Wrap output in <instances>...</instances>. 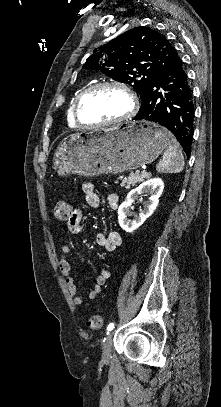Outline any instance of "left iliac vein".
<instances>
[{"mask_svg":"<svg viewBox=\"0 0 221 407\" xmlns=\"http://www.w3.org/2000/svg\"><path fill=\"white\" fill-rule=\"evenodd\" d=\"M113 332L111 331L106 337L102 346V358L108 360L111 357Z\"/></svg>","mask_w":221,"mask_h":407,"instance_id":"obj_1","label":"left iliac vein"}]
</instances>
